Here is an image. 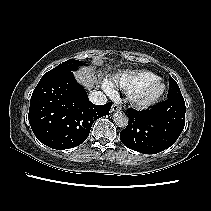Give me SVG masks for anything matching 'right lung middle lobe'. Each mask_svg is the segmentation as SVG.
I'll return each instance as SVG.
<instances>
[{"label": "right lung middle lobe", "instance_id": "1", "mask_svg": "<svg viewBox=\"0 0 211 211\" xmlns=\"http://www.w3.org/2000/svg\"><path fill=\"white\" fill-rule=\"evenodd\" d=\"M81 65H85V64L81 63V61L74 60V59L67 60V61L63 62L62 64H59L54 69L45 73L40 81H44L47 79H51V78L62 76V75L68 74V73H72V71L76 70L77 67L81 66Z\"/></svg>", "mask_w": 211, "mask_h": 211}]
</instances>
